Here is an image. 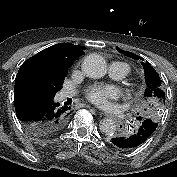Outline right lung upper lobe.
<instances>
[{
	"mask_svg": "<svg viewBox=\"0 0 177 177\" xmlns=\"http://www.w3.org/2000/svg\"><path fill=\"white\" fill-rule=\"evenodd\" d=\"M84 49L79 45L59 43L40 51L21 65L15 79V88L29 83L62 88L69 67L84 54Z\"/></svg>",
	"mask_w": 177,
	"mask_h": 177,
	"instance_id": "cb5924a9",
	"label": "right lung upper lobe"
}]
</instances>
